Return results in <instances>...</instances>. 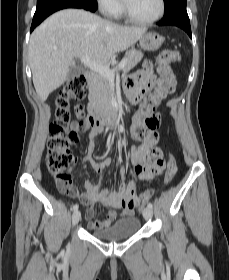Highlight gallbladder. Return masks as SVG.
Masks as SVG:
<instances>
[{"instance_id":"gallbladder-1","label":"gallbladder","mask_w":229,"mask_h":280,"mask_svg":"<svg viewBox=\"0 0 229 280\" xmlns=\"http://www.w3.org/2000/svg\"><path fill=\"white\" fill-rule=\"evenodd\" d=\"M81 73H82V70L80 68L73 67L70 69L67 80L70 81V80L74 79V77L80 75Z\"/></svg>"}]
</instances>
